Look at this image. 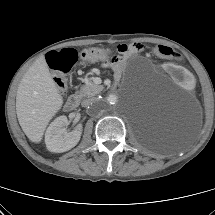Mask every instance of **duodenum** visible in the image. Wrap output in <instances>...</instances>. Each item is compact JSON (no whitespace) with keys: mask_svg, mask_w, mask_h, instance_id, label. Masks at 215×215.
Returning a JSON list of instances; mask_svg holds the SVG:
<instances>
[{"mask_svg":"<svg viewBox=\"0 0 215 215\" xmlns=\"http://www.w3.org/2000/svg\"><path fill=\"white\" fill-rule=\"evenodd\" d=\"M79 101H80V98L78 95L74 94V95H71L67 101L65 102V109L67 111H73L75 110L78 105H79Z\"/></svg>","mask_w":215,"mask_h":215,"instance_id":"410a0bca","label":"duodenum"}]
</instances>
